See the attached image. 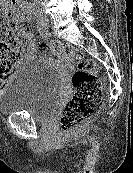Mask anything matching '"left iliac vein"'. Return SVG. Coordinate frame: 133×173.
I'll return each mask as SVG.
<instances>
[{"label":"left iliac vein","mask_w":133,"mask_h":173,"mask_svg":"<svg viewBox=\"0 0 133 173\" xmlns=\"http://www.w3.org/2000/svg\"><path fill=\"white\" fill-rule=\"evenodd\" d=\"M43 20H44V25L46 28L49 27V21H48V18L46 16L43 17Z\"/></svg>","instance_id":"1"}]
</instances>
